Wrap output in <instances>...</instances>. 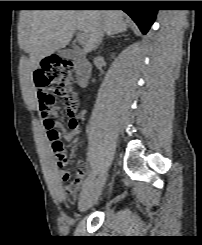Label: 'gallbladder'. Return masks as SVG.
<instances>
[{"mask_svg":"<svg viewBox=\"0 0 202 245\" xmlns=\"http://www.w3.org/2000/svg\"><path fill=\"white\" fill-rule=\"evenodd\" d=\"M58 55L66 59H72L77 57L78 53L73 49H63L59 50Z\"/></svg>","mask_w":202,"mask_h":245,"instance_id":"1","label":"gallbladder"}]
</instances>
